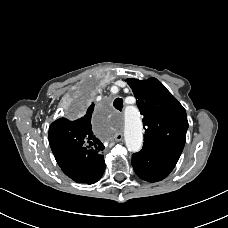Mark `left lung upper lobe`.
<instances>
[{
	"label": "left lung upper lobe",
	"mask_w": 228,
	"mask_h": 228,
	"mask_svg": "<svg viewBox=\"0 0 228 228\" xmlns=\"http://www.w3.org/2000/svg\"><path fill=\"white\" fill-rule=\"evenodd\" d=\"M143 115L144 145L182 153L188 121L186 111L156 78L127 79Z\"/></svg>",
	"instance_id": "5c2ea615"
}]
</instances>
